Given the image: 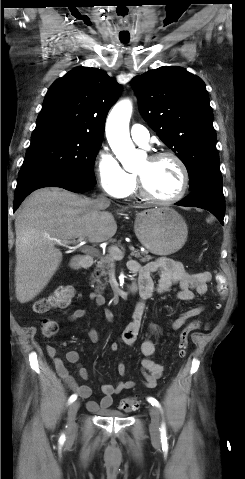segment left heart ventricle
Listing matches in <instances>:
<instances>
[{
    "instance_id": "b2bd125f",
    "label": "left heart ventricle",
    "mask_w": 245,
    "mask_h": 479,
    "mask_svg": "<svg viewBox=\"0 0 245 479\" xmlns=\"http://www.w3.org/2000/svg\"><path fill=\"white\" fill-rule=\"evenodd\" d=\"M137 173L144 177L148 191L160 199L173 197L181 185V172L178 165L170 158L154 162L143 161Z\"/></svg>"
}]
</instances>
